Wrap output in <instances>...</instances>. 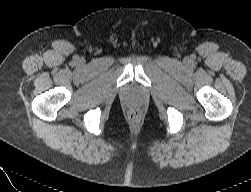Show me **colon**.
Here are the masks:
<instances>
[{"label":"colon","mask_w":251,"mask_h":192,"mask_svg":"<svg viewBox=\"0 0 251 192\" xmlns=\"http://www.w3.org/2000/svg\"><path fill=\"white\" fill-rule=\"evenodd\" d=\"M139 117V113L137 111H132L130 113V118L136 120Z\"/></svg>","instance_id":"5ec220e1"}]
</instances>
